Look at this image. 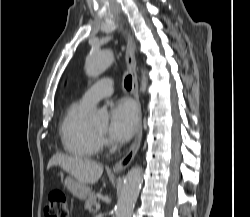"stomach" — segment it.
I'll list each match as a JSON object with an SVG mask.
<instances>
[{"instance_id": "0dacf381", "label": "stomach", "mask_w": 250, "mask_h": 217, "mask_svg": "<svg viewBox=\"0 0 250 217\" xmlns=\"http://www.w3.org/2000/svg\"><path fill=\"white\" fill-rule=\"evenodd\" d=\"M65 186L75 197L82 201L86 200L91 194L89 186L79 183L70 176L65 179Z\"/></svg>"}]
</instances>
